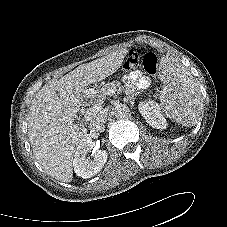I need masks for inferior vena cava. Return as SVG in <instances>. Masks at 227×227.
Listing matches in <instances>:
<instances>
[{
  "instance_id": "602c4592",
  "label": "inferior vena cava",
  "mask_w": 227,
  "mask_h": 227,
  "mask_svg": "<svg viewBox=\"0 0 227 227\" xmlns=\"http://www.w3.org/2000/svg\"><path fill=\"white\" fill-rule=\"evenodd\" d=\"M107 113L105 111H100L97 114H94L91 118H90V122H89V127L91 129H100L104 126L105 122L107 121Z\"/></svg>"
}]
</instances>
